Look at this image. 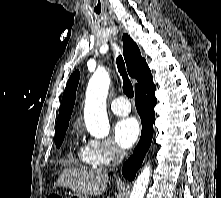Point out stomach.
<instances>
[{
	"label": "stomach",
	"mask_w": 221,
	"mask_h": 198,
	"mask_svg": "<svg viewBox=\"0 0 221 198\" xmlns=\"http://www.w3.org/2000/svg\"><path fill=\"white\" fill-rule=\"evenodd\" d=\"M70 198H88L87 195H84V194H73Z\"/></svg>",
	"instance_id": "stomach-1"
}]
</instances>
